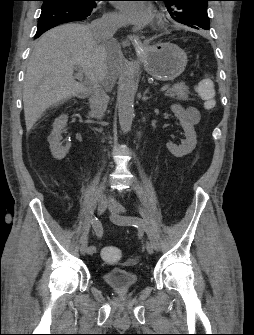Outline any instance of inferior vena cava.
<instances>
[{"instance_id": "obj_1", "label": "inferior vena cava", "mask_w": 254, "mask_h": 335, "mask_svg": "<svg viewBox=\"0 0 254 335\" xmlns=\"http://www.w3.org/2000/svg\"><path fill=\"white\" fill-rule=\"evenodd\" d=\"M122 19L115 15H103L90 24L92 37L97 42L109 40L121 27ZM104 77H95L90 82V109L91 115L101 119L106 111L108 104V95L103 86Z\"/></svg>"}]
</instances>
